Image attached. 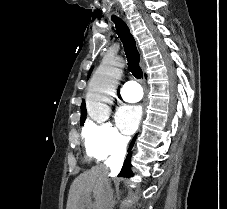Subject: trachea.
Here are the masks:
<instances>
[{
  "mask_svg": "<svg viewBox=\"0 0 227 209\" xmlns=\"http://www.w3.org/2000/svg\"><path fill=\"white\" fill-rule=\"evenodd\" d=\"M112 21L115 24L116 33L123 43L124 51L128 61V69L136 79H140L143 72L139 65L140 55L136 47L135 39L124 20L113 15Z\"/></svg>",
  "mask_w": 227,
  "mask_h": 209,
  "instance_id": "3493384b",
  "label": "trachea"
}]
</instances>
